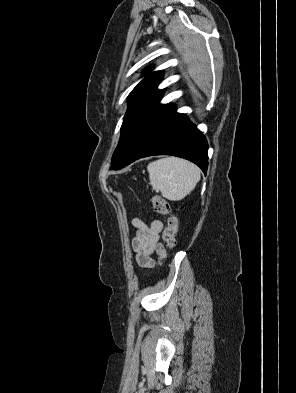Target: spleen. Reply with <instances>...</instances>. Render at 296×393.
I'll return each mask as SVG.
<instances>
[{
	"instance_id": "obj_1",
	"label": "spleen",
	"mask_w": 296,
	"mask_h": 393,
	"mask_svg": "<svg viewBox=\"0 0 296 393\" xmlns=\"http://www.w3.org/2000/svg\"><path fill=\"white\" fill-rule=\"evenodd\" d=\"M147 170L153 189L171 201L185 198L200 180V169L196 165L176 157L153 161Z\"/></svg>"
}]
</instances>
